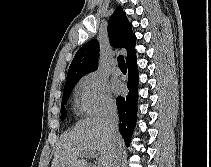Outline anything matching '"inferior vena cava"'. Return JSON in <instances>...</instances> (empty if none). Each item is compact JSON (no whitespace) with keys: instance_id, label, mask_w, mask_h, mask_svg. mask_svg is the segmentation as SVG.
I'll return each mask as SVG.
<instances>
[{"instance_id":"602c4592","label":"inferior vena cava","mask_w":211,"mask_h":167,"mask_svg":"<svg viewBox=\"0 0 211 167\" xmlns=\"http://www.w3.org/2000/svg\"><path fill=\"white\" fill-rule=\"evenodd\" d=\"M118 123L119 117L117 114V108L114 104L109 105L105 114V124L108 131L111 133L112 137L116 140L118 137ZM121 161V150H117L114 160L112 162V167H120Z\"/></svg>"}]
</instances>
